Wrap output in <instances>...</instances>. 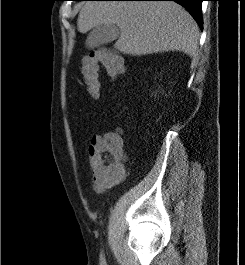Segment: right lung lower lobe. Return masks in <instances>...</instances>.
I'll return each mask as SVG.
<instances>
[{"mask_svg":"<svg viewBox=\"0 0 245 265\" xmlns=\"http://www.w3.org/2000/svg\"><path fill=\"white\" fill-rule=\"evenodd\" d=\"M122 1H175L185 7L196 20L199 27L203 28L201 5L203 0H122Z\"/></svg>","mask_w":245,"mask_h":265,"instance_id":"1","label":"right lung lower lobe"}]
</instances>
